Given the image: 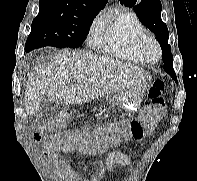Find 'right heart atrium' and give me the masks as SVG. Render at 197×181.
<instances>
[{"label": "right heart atrium", "mask_w": 197, "mask_h": 181, "mask_svg": "<svg viewBox=\"0 0 197 181\" xmlns=\"http://www.w3.org/2000/svg\"><path fill=\"white\" fill-rule=\"evenodd\" d=\"M100 21H101V18H99V17H97V18L94 19V21H93V23H92V25H91V33H92V34L95 33V31H96V29H97V27H98Z\"/></svg>", "instance_id": "obj_1"}]
</instances>
